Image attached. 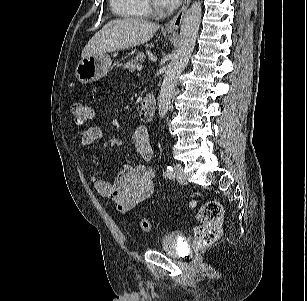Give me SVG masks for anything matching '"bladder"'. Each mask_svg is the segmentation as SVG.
<instances>
[{"instance_id":"obj_1","label":"bladder","mask_w":307,"mask_h":301,"mask_svg":"<svg viewBox=\"0 0 307 301\" xmlns=\"http://www.w3.org/2000/svg\"><path fill=\"white\" fill-rule=\"evenodd\" d=\"M178 237L179 235L174 232L165 234L158 244V250L171 256H178L180 251Z\"/></svg>"}]
</instances>
